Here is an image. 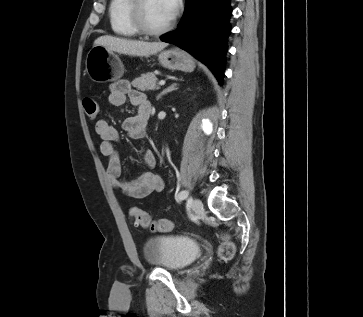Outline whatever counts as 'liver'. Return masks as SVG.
<instances>
[{
    "label": "liver",
    "mask_w": 363,
    "mask_h": 317,
    "mask_svg": "<svg viewBox=\"0 0 363 317\" xmlns=\"http://www.w3.org/2000/svg\"><path fill=\"white\" fill-rule=\"evenodd\" d=\"M165 42H145L136 40H127L109 35L98 37L94 41V46H103L108 50L118 52L120 54L148 57L156 54L167 47Z\"/></svg>",
    "instance_id": "liver-1"
}]
</instances>
